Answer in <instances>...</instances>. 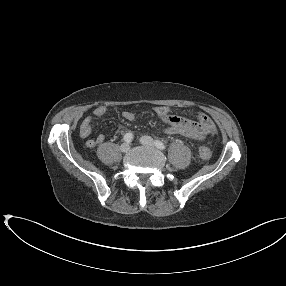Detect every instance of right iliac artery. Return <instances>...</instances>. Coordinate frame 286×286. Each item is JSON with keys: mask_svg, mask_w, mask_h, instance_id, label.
<instances>
[{"mask_svg": "<svg viewBox=\"0 0 286 286\" xmlns=\"http://www.w3.org/2000/svg\"><path fill=\"white\" fill-rule=\"evenodd\" d=\"M124 141H126V142H131L132 141V139H133V134L131 133V132H128V133H126L125 135H124Z\"/></svg>", "mask_w": 286, "mask_h": 286, "instance_id": "obj_1", "label": "right iliac artery"}]
</instances>
